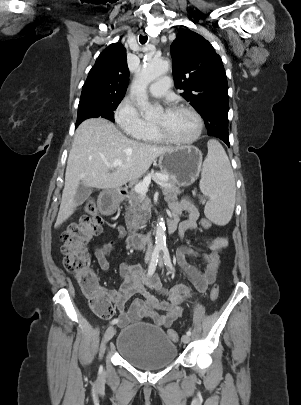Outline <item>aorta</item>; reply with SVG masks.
<instances>
[{
	"instance_id": "aorta-1",
	"label": "aorta",
	"mask_w": 301,
	"mask_h": 405,
	"mask_svg": "<svg viewBox=\"0 0 301 405\" xmlns=\"http://www.w3.org/2000/svg\"><path fill=\"white\" fill-rule=\"evenodd\" d=\"M168 70L169 63L165 60L149 59L144 63L139 77L132 86V92L136 97L141 112L148 114L152 111L148 102L147 87L153 80L165 74ZM165 231L164 219L160 217L156 225L155 236L156 248L158 249H163L166 246Z\"/></svg>"
}]
</instances>
